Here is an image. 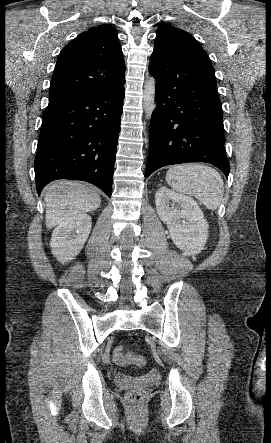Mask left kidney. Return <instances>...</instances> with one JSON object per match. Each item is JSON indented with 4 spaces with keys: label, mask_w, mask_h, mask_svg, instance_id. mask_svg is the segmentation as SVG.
<instances>
[{
    "label": "left kidney",
    "mask_w": 271,
    "mask_h": 443,
    "mask_svg": "<svg viewBox=\"0 0 271 443\" xmlns=\"http://www.w3.org/2000/svg\"><path fill=\"white\" fill-rule=\"evenodd\" d=\"M155 204L175 245L187 255L200 253L207 241L209 225L197 202L162 186L155 194Z\"/></svg>",
    "instance_id": "left-kidney-1"
}]
</instances>
